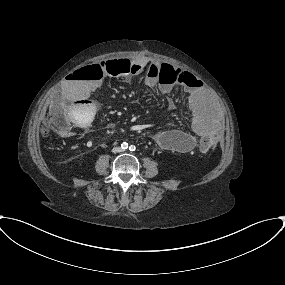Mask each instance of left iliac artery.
<instances>
[{"label": "left iliac artery", "instance_id": "1", "mask_svg": "<svg viewBox=\"0 0 285 285\" xmlns=\"http://www.w3.org/2000/svg\"><path fill=\"white\" fill-rule=\"evenodd\" d=\"M129 149H130V151H134V150L136 149V147H135L134 145H131V146L129 147Z\"/></svg>", "mask_w": 285, "mask_h": 285}]
</instances>
